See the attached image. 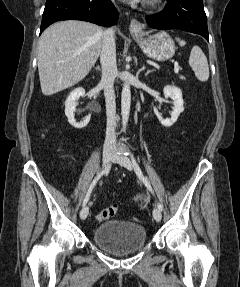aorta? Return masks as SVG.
Wrapping results in <instances>:
<instances>
[{"label": "aorta", "mask_w": 240, "mask_h": 287, "mask_svg": "<svg viewBox=\"0 0 240 287\" xmlns=\"http://www.w3.org/2000/svg\"><path fill=\"white\" fill-rule=\"evenodd\" d=\"M130 105H131L130 84L124 83L121 93V115L124 130L129 119Z\"/></svg>", "instance_id": "obj_1"}]
</instances>
